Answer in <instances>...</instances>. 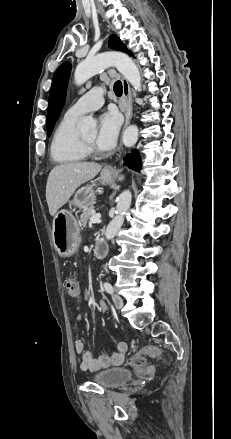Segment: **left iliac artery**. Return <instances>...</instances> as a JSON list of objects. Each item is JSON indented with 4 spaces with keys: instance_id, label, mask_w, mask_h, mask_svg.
Wrapping results in <instances>:
<instances>
[{
    "instance_id": "44dca946",
    "label": "left iliac artery",
    "mask_w": 231,
    "mask_h": 439,
    "mask_svg": "<svg viewBox=\"0 0 231 439\" xmlns=\"http://www.w3.org/2000/svg\"><path fill=\"white\" fill-rule=\"evenodd\" d=\"M104 288H105V290H106L109 294H112V293H113V287H112V285H111L110 283L105 282V283H104Z\"/></svg>"
}]
</instances>
